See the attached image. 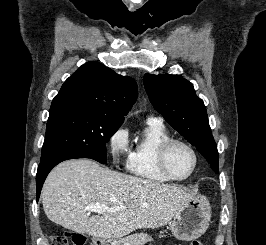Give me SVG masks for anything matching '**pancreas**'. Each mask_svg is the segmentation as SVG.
<instances>
[{"label": "pancreas", "mask_w": 266, "mask_h": 245, "mask_svg": "<svg viewBox=\"0 0 266 245\" xmlns=\"http://www.w3.org/2000/svg\"><path fill=\"white\" fill-rule=\"evenodd\" d=\"M153 241L150 235L147 233H136V235H130V237H126V239H121V241H116L114 245H146V243H151Z\"/></svg>", "instance_id": "cf45deb5"}]
</instances>
